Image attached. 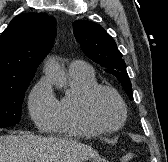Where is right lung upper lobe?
Instances as JSON below:
<instances>
[{"instance_id": "cb5924a9", "label": "right lung upper lobe", "mask_w": 168, "mask_h": 162, "mask_svg": "<svg viewBox=\"0 0 168 162\" xmlns=\"http://www.w3.org/2000/svg\"><path fill=\"white\" fill-rule=\"evenodd\" d=\"M56 20L45 13H22L0 36V84L33 78L52 48Z\"/></svg>"}]
</instances>
